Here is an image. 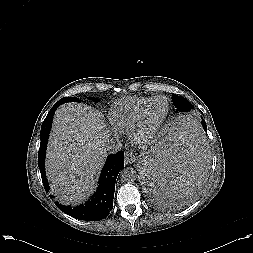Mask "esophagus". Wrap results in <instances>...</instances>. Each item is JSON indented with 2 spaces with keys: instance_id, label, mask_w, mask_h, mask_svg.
I'll use <instances>...</instances> for the list:
<instances>
[{
  "instance_id": "esophagus-1",
  "label": "esophagus",
  "mask_w": 253,
  "mask_h": 253,
  "mask_svg": "<svg viewBox=\"0 0 253 253\" xmlns=\"http://www.w3.org/2000/svg\"><path fill=\"white\" fill-rule=\"evenodd\" d=\"M125 164L129 165L136 161V156L132 151H127L124 156Z\"/></svg>"
}]
</instances>
